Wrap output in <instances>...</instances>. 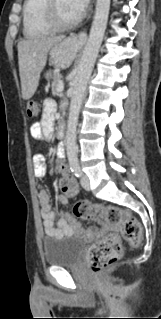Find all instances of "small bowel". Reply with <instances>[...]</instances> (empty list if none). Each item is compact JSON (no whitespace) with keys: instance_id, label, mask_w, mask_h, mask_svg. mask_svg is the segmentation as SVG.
Masks as SVG:
<instances>
[{"instance_id":"obj_1","label":"small bowel","mask_w":161,"mask_h":319,"mask_svg":"<svg viewBox=\"0 0 161 319\" xmlns=\"http://www.w3.org/2000/svg\"><path fill=\"white\" fill-rule=\"evenodd\" d=\"M57 112V105L54 100L47 99L43 106L42 120L32 125L30 134L34 140L48 142L54 133V123ZM62 152V149H59ZM34 160V174L36 176H43L46 172L44 166V158L42 155L37 154L33 158ZM62 178L66 177L71 180L74 187L66 190L64 194L57 195V200L65 204L68 197L74 196L78 191V186L74 178L70 175L65 163L59 165ZM39 208L40 214L43 220L44 230L47 235H61L64 233H70L72 231H81V225L75 221L69 213L57 214L52 210L50 198L47 190L43 187L39 188ZM59 215V219L56 224V218ZM103 229L90 230L87 232L89 237H98L102 233Z\"/></svg>"}]
</instances>
